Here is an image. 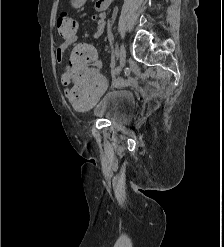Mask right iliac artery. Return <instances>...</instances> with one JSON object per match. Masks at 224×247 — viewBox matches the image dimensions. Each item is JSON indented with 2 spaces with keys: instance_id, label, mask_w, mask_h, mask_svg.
<instances>
[{
  "instance_id": "1",
  "label": "right iliac artery",
  "mask_w": 224,
  "mask_h": 247,
  "mask_svg": "<svg viewBox=\"0 0 224 247\" xmlns=\"http://www.w3.org/2000/svg\"><path fill=\"white\" fill-rule=\"evenodd\" d=\"M120 71V68L119 67H116L113 71H112V75H117Z\"/></svg>"
}]
</instances>
